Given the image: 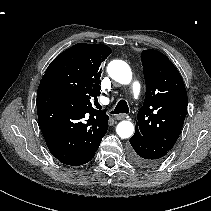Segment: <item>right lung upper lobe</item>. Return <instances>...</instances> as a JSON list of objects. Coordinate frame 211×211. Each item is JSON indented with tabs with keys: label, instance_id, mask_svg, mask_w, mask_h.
I'll return each mask as SVG.
<instances>
[{
	"label": "right lung upper lobe",
	"instance_id": "cb5924a9",
	"mask_svg": "<svg viewBox=\"0 0 211 211\" xmlns=\"http://www.w3.org/2000/svg\"><path fill=\"white\" fill-rule=\"evenodd\" d=\"M111 52L108 46L102 44H75L52 61L40 85L53 88L50 82L56 80L60 88L67 90L87 109L107 116L104 111L94 109L90 100L97 99L101 94L100 65Z\"/></svg>",
	"mask_w": 211,
	"mask_h": 211
}]
</instances>
